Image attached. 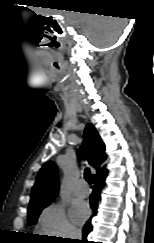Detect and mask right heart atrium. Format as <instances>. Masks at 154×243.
<instances>
[{"label":"right heart atrium","mask_w":154,"mask_h":243,"mask_svg":"<svg viewBox=\"0 0 154 243\" xmlns=\"http://www.w3.org/2000/svg\"><path fill=\"white\" fill-rule=\"evenodd\" d=\"M39 229L42 233L57 237L77 235L76 227L69 221L65 207L51 204L39 216Z\"/></svg>","instance_id":"right-heart-atrium-1"}]
</instances>
